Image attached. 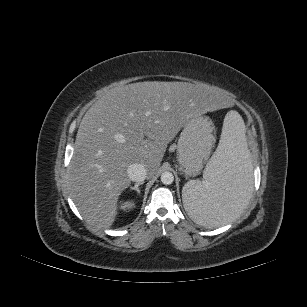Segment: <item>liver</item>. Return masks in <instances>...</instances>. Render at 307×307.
Here are the masks:
<instances>
[{
	"instance_id": "obj_1",
	"label": "liver",
	"mask_w": 307,
	"mask_h": 307,
	"mask_svg": "<svg viewBox=\"0 0 307 307\" xmlns=\"http://www.w3.org/2000/svg\"><path fill=\"white\" fill-rule=\"evenodd\" d=\"M227 106L222 93L187 82H137L107 91L84 115L68 168L70 196L83 218L109 229L130 184L128 166L141 163L153 175L189 119Z\"/></svg>"
}]
</instances>
